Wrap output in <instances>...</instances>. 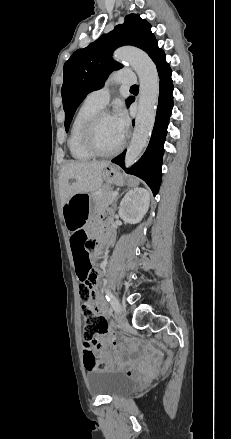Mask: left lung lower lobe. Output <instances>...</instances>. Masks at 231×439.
Wrapping results in <instances>:
<instances>
[{"label": "left lung lower lobe", "instance_id": "left-lung-lower-lobe-1", "mask_svg": "<svg viewBox=\"0 0 231 439\" xmlns=\"http://www.w3.org/2000/svg\"><path fill=\"white\" fill-rule=\"evenodd\" d=\"M166 56L161 50L152 60L156 64L160 77L159 103L157 107L155 124L149 145L143 156L130 169L125 171L143 179L151 188L154 196L158 193L161 183V165L164 154V142L169 124V117L173 108V84L171 79V69L166 62ZM134 101L129 98L127 106ZM134 123V121H133ZM125 151L112 160L113 163L124 167Z\"/></svg>", "mask_w": 231, "mask_h": 439}]
</instances>
